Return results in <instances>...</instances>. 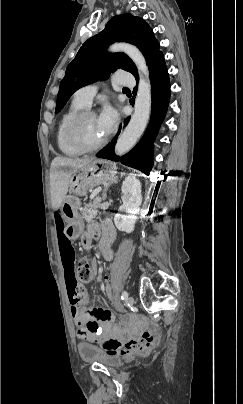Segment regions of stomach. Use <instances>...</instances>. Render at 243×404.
<instances>
[{
	"mask_svg": "<svg viewBox=\"0 0 243 404\" xmlns=\"http://www.w3.org/2000/svg\"><path fill=\"white\" fill-rule=\"evenodd\" d=\"M117 166L104 159H93L82 168L75 169L70 179L69 190L75 195H84L87 190L110 180L116 174ZM62 213L68 222L66 237L73 240L80 236L84 229L83 218L78 209L79 204L74 197H66L62 204Z\"/></svg>",
	"mask_w": 243,
	"mask_h": 404,
	"instance_id": "stomach-1",
	"label": "stomach"
}]
</instances>
